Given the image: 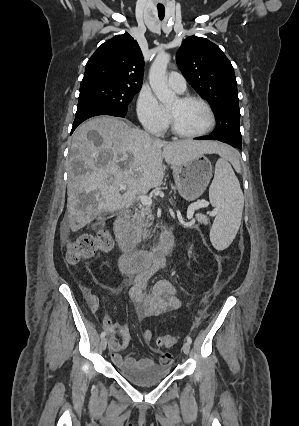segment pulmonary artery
I'll return each instance as SVG.
<instances>
[{"instance_id": "pulmonary-artery-1", "label": "pulmonary artery", "mask_w": 299, "mask_h": 426, "mask_svg": "<svg viewBox=\"0 0 299 426\" xmlns=\"http://www.w3.org/2000/svg\"><path fill=\"white\" fill-rule=\"evenodd\" d=\"M167 81L169 86L179 93L186 90V80L179 72H170Z\"/></svg>"}]
</instances>
